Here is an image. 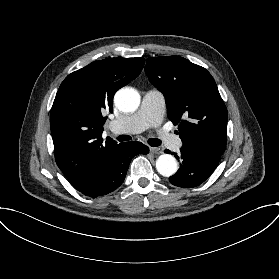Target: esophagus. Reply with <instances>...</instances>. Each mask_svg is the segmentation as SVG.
<instances>
[{"instance_id": "1", "label": "esophagus", "mask_w": 279, "mask_h": 279, "mask_svg": "<svg viewBox=\"0 0 279 279\" xmlns=\"http://www.w3.org/2000/svg\"><path fill=\"white\" fill-rule=\"evenodd\" d=\"M150 152L152 154H159L160 153V148L157 147H150Z\"/></svg>"}]
</instances>
